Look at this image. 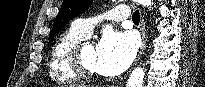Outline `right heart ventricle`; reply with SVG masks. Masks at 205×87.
Masks as SVG:
<instances>
[{"instance_id":"1","label":"right heart ventricle","mask_w":205,"mask_h":87,"mask_svg":"<svg viewBox=\"0 0 205 87\" xmlns=\"http://www.w3.org/2000/svg\"><path fill=\"white\" fill-rule=\"evenodd\" d=\"M85 37L70 28L54 42L49 59V76L56 84H71L78 80L68 65L67 55L70 49Z\"/></svg>"}]
</instances>
